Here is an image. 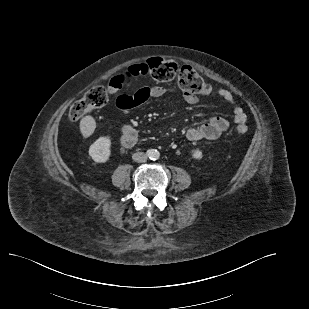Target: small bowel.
<instances>
[{
  "mask_svg": "<svg viewBox=\"0 0 309 309\" xmlns=\"http://www.w3.org/2000/svg\"><path fill=\"white\" fill-rule=\"evenodd\" d=\"M134 67L138 68L136 73L131 71ZM148 73L149 70L146 63L132 65L109 80L108 90L110 94H115L127 85L133 78L142 77ZM175 92V90L165 88L163 86L143 85L133 94L120 95L116 100V105L124 114H127L131 109L146 103L152 98H160ZM218 95L231 106L234 122L238 125L244 124L246 121V114L242 107L235 102L233 94L229 90L221 88L218 90ZM183 98L188 104H196L198 102V98L194 94L185 92L183 94ZM228 128L229 121L227 119L220 116H214L208 119L205 123L188 129L186 136L190 141L215 140L219 138ZM137 140L138 135L136 129L131 125H125L122 128V145L125 148H131L137 143Z\"/></svg>",
  "mask_w": 309,
  "mask_h": 309,
  "instance_id": "small-bowel-1",
  "label": "small bowel"
}]
</instances>
